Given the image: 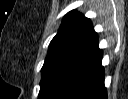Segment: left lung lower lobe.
I'll use <instances>...</instances> for the list:
<instances>
[{
  "instance_id": "0a47b994",
  "label": "left lung lower lobe",
  "mask_w": 128,
  "mask_h": 99,
  "mask_svg": "<svg viewBox=\"0 0 128 99\" xmlns=\"http://www.w3.org/2000/svg\"><path fill=\"white\" fill-rule=\"evenodd\" d=\"M97 33L55 73L41 99H107Z\"/></svg>"
}]
</instances>
